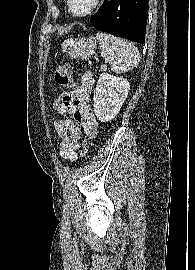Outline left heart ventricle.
<instances>
[{"label":"left heart ventricle","mask_w":195,"mask_h":270,"mask_svg":"<svg viewBox=\"0 0 195 270\" xmlns=\"http://www.w3.org/2000/svg\"><path fill=\"white\" fill-rule=\"evenodd\" d=\"M95 0H70V6L74 13L82 14L88 11Z\"/></svg>","instance_id":"obj_1"}]
</instances>
